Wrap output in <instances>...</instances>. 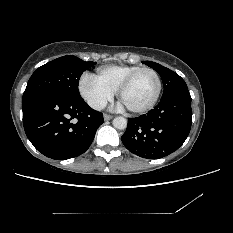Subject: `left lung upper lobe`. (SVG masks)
I'll return each instance as SVG.
<instances>
[{
	"instance_id": "obj_1",
	"label": "left lung upper lobe",
	"mask_w": 233,
	"mask_h": 233,
	"mask_svg": "<svg viewBox=\"0 0 233 233\" xmlns=\"http://www.w3.org/2000/svg\"><path fill=\"white\" fill-rule=\"evenodd\" d=\"M144 64L153 68L162 78L164 91L161 99L175 93L177 91L188 89L185 81L172 70L151 61H144Z\"/></svg>"
}]
</instances>
